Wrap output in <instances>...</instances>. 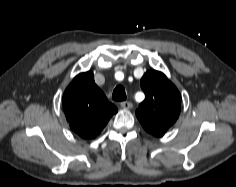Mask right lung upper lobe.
Wrapping results in <instances>:
<instances>
[{
  "instance_id": "cb5924a9",
  "label": "right lung upper lobe",
  "mask_w": 236,
  "mask_h": 187,
  "mask_svg": "<svg viewBox=\"0 0 236 187\" xmlns=\"http://www.w3.org/2000/svg\"><path fill=\"white\" fill-rule=\"evenodd\" d=\"M63 109L70 128L84 139H93L117 108L97 87L91 71L77 75L63 95Z\"/></svg>"
}]
</instances>
